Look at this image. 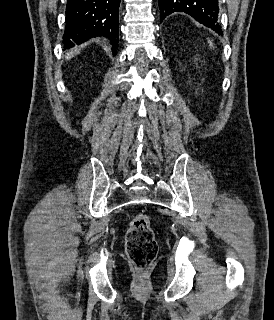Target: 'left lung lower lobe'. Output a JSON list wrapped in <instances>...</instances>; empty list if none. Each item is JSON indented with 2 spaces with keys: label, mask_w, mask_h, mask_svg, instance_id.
<instances>
[{
  "label": "left lung lower lobe",
  "mask_w": 274,
  "mask_h": 320,
  "mask_svg": "<svg viewBox=\"0 0 274 320\" xmlns=\"http://www.w3.org/2000/svg\"><path fill=\"white\" fill-rule=\"evenodd\" d=\"M160 23L173 12H185L199 23L222 33L218 22V0H159Z\"/></svg>",
  "instance_id": "1"
}]
</instances>
